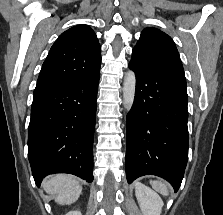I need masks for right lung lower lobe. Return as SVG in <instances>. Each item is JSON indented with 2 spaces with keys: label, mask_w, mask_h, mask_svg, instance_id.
Instances as JSON below:
<instances>
[{
  "label": "right lung lower lobe",
  "mask_w": 223,
  "mask_h": 215,
  "mask_svg": "<svg viewBox=\"0 0 223 215\" xmlns=\"http://www.w3.org/2000/svg\"><path fill=\"white\" fill-rule=\"evenodd\" d=\"M100 69L66 87L34 95L28 158L36 185L53 173L93 181V136Z\"/></svg>",
  "instance_id": "right-lung-lower-lobe-1"
}]
</instances>
